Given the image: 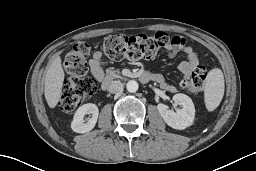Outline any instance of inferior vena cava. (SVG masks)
<instances>
[{
	"label": "inferior vena cava",
	"instance_id": "obj_1",
	"mask_svg": "<svg viewBox=\"0 0 256 171\" xmlns=\"http://www.w3.org/2000/svg\"><path fill=\"white\" fill-rule=\"evenodd\" d=\"M108 91L110 93H120L123 91V84L121 83V81H112L108 85Z\"/></svg>",
	"mask_w": 256,
	"mask_h": 171
}]
</instances>
